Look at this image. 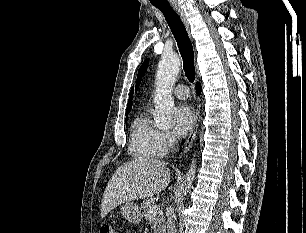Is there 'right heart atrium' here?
<instances>
[{"instance_id": "obj_1", "label": "right heart atrium", "mask_w": 306, "mask_h": 233, "mask_svg": "<svg viewBox=\"0 0 306 233\" xmlns=\"http://www.w3.org/2000/svg\"><path fill=\"white\" fill-rule=\"evenodd\" d=\"M176 138L169 130H157L156 150L158 156H164L174 148Z\"/></svg>"}]
</instances>
